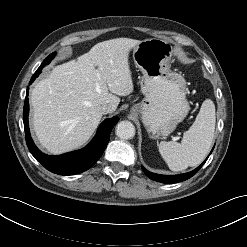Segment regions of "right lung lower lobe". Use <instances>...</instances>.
Instances as JSON below:
<instances>
[{"mask_svg":"<svg viewBox=\"0 0 247 247\" xmlns=\"http://www.w3.org/2000/svg\"><path fill=\"white\" fill-rule=\"evenodd\" d=\"M38 75H33L30 84ZM28 89L24 102L23 121L26 136V143L31 154L39 161L47 170L59 175H73L82 173L91 168L103 154L109 139L110 133L114 125L119 121L117 117L106 119L99 127L96 137L84 149L66 153L59 156H49L43 154L35 146L29 132L28 126Z\"/></svg>","mask_w":247,"mask_h":247,"instance_id":"right-lung-lower-lobe-1","label":"right lung lower lobe"}]
</instances>
